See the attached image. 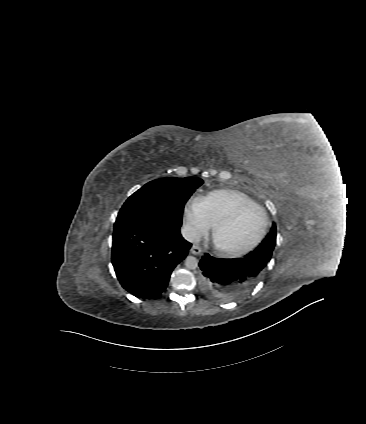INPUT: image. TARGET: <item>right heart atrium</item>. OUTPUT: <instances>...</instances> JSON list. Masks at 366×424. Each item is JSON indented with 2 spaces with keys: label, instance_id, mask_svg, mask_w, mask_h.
Returning <instances> with one entry per match:
<instances>
[{
  "label": "right heart atrium",
  "instance_id": "right-heart-atrium-1",
  "mask_svg": "<svg viewBox=\"0 0 366 424\" xmlns=\"http://www.w3.org/2000/svg\"><path fill=\"white\" fill-rule=\"evenodd\" d=\"M183 216L185 230L192 239L201 238L211 227L204 210L203 199L200 197H194L186 203Z\"/></svg>",
  "mask_w": 366,
  "mask_h": 424
}]
</instances>
